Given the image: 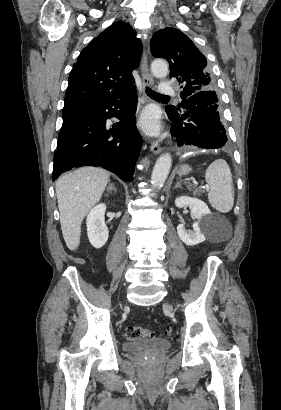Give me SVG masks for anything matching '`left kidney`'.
I'll use <instances>...</instances> for the list:
<instances>
[{"instance_id":"5707ae66","label":"left kidney","mask_w":281,"mask_h":410,"mask_svg":"<svg viewBox=\"0 0 281 410\" xmlns=\"http://www.w3.org/2000/svg\"><path fill=\"white\" fill-rule=\"evenodd\" d=\"M175 205L178 208L188 206L193 219L198 220L193 223V230H186L184 224H179L177 226L179 238L188 246H194L205 241L204 231L211 222V211L206 203L198 198L180 196L176 198Z\"/></svg>"}]
</instances>
